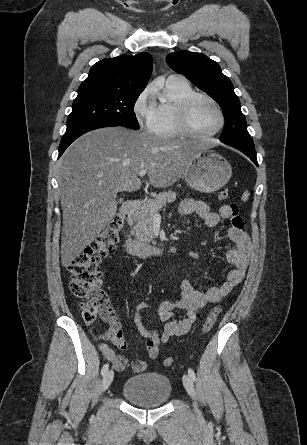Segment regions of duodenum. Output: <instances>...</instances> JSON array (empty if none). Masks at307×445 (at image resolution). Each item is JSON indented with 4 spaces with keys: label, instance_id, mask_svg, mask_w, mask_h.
I'll return each instance as SVG.
<instances>
[{
    "label": "duodenum",
    "instance_id": "1",
    "mask_svg": "<svg viewBox=\"0 0 307 445\" xmlns=\"http://www.w3.org/2000/svg\"><path fill=\"white\" fill-rule=\"evenodd\" d=\"M141 203L140 199L128 200L124 203L123 212L130 221L134 219ZM125 249L129 255L141 257L159 256L165 251L162 246L136 240L130 235L125 238Z\"/></svg>",
    "mask_w": 307,
    "mask_h": 445
}]
</instances>
